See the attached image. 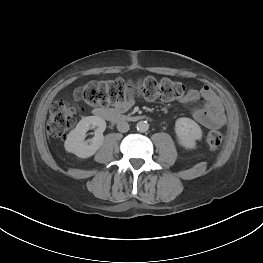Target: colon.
<instances>
[{
    "label": "colon",
    "instance_id": "1",
    "mask_svg": "<svg viewBox=\"0 0 263 263\" xmlns=\"http://www.w3.org/2000/svg\"><path fill=\"white\" fill-rule=\"evenodd\" d=\"M188 89L180 82L169 78L145 77L137 81L121 78L108 81H92L75 91V98L92 106L119 105L133 94H140L147 100L173 101L187 95ZM78 111L62 100L53 103L48 120V133L60 138L75 125ZM223 134L211 130L205 136L206 144L217 148L223 141Z\"/></svg>",
    "mask_w": 263,
    "mask_h": 263
}]
</instances>
